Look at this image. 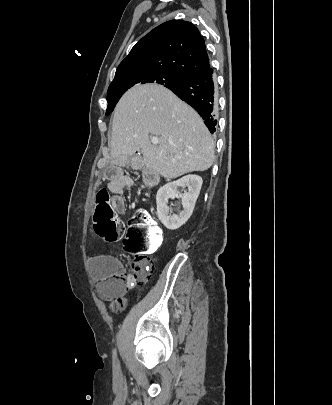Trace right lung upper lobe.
<instances>
[{"mask_svg":"<svg viewBox=\"0 0 332 405\" xmlns=\"http://www.w3.org/2000/svg\"><path fill=\"white\" fill-rule=\"evenodd\" d=\"M209 65L204 39L192 23L167 21L150 31L119 64L115 78L153 71L187 76Z\"/></svg>","mask_w":332,"mask_h":405,"instance_id":"cb5924a9","label":"right lung upper lobe"}]
</instances>
